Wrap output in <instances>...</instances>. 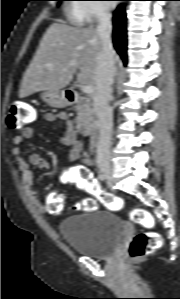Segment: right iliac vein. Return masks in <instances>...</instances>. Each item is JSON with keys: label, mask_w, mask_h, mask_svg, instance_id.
Masks as SVG:
<instances>
[{"label": "right iliac vein", "mask_w": 180, "mask_h": 299, "mask_svg": "<svg viewBox=\"0 0 180 299\" xmlns=\"http://www.w3.org/2000/svg\"><path fill=\"white\" fill-rule=\"evenodd\" d=\"M99 169L108 181L112 180V167L106 158H101L99 160Z\"/></svg>", "instance_id": "obj_1"}]
</instances>
